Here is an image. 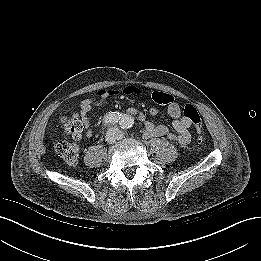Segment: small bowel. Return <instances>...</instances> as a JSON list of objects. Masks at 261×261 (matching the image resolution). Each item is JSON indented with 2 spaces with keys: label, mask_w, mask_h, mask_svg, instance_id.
<instances>
[{
  "label": "small bowel",
  "mask_w": 261,
  "mask_h": 261,
  "mask_svg": "<svg viewBox=\"0 0 261 261\" xmlns=\"http://www.w3.org/2000/svg\"><path fill=\"white\" fill-rule=\"evenodd\" d=\"M106 100V96H101L98 99L87 98L80 102L79 116L84 127L86 128V136H91V130L89 129V112L92 107L104 105ZM151 101L155 102L152 96ZM133 112L138 114V120L143 123L147 137H167L173 141H176L180 145H187L190 142L191 136L189 130L192 123L188 118L182 116L181 108L175 101H171L167 106V113L172 119L171 125L174 132H172L166 125H155L153 122L148 120L146 115L141 111L133 110ZM157 112L158 110L156 107H152L149 110L150 115L153 116L156 115Z\"/></svg>",
  "instance_id": "obj_1"
}]
</instances>
